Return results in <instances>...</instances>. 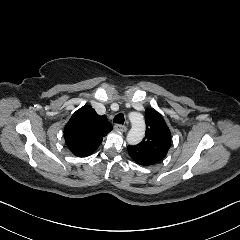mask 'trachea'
Here are the masks:
<instances>
[{
    "mask_svg": "<svg viewBox=\"0 0 240 240\" xmlns=\"http://www.w3.org/2000/svg\"><path fill=\"white\" fill-rule=\"evenodd\" d=\"M124 120V115L119 113L114 117L113 122L116 124H124Z\"/></svg>",
    "mask_w": 240,
    "mask_h": 240,
    "instance_id": "obj_1",
    "label": "trachea"
}]
</instances>
